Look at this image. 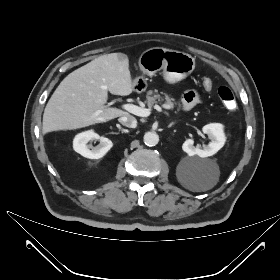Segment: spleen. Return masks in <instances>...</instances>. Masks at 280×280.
Masks as SVG:
<instances>
[{
	"label": "spleen",
	"instance_id": "obj_1",
	"mask_svg": "<svg viewBox=\"0 0 280 280\" xmlns=\"http://www.w3.org/2000/svg\"><path fill=\"white\" fill-rule=\"evenodd\" d=\"M214 185H215V182L212 183V184H210L209 186H207L205 189H210V188H212Z\"/></svg>",
	"mask_w": 280,
	"mask_h": 280
}]
</instances>
